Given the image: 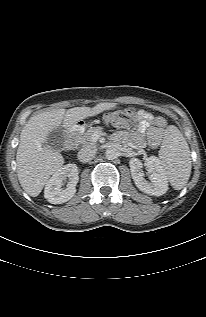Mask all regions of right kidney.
Segmentation results:
<instances>
[{"label":"right kidney","instance_id":"1","mask_svg":"<svg viewBox=\"0 0 206 317\" xmlns=\"http://www.w3.org/2000/svg\"><path fill=\"white\" fill-rule=\"evenodd\" d=\"M67 178H69V182L66 188H62ZM78 180V168L76 164L64 165L46 183L44 197L52 204L67 202L76 193Z\"/></svg>","mask_w":206,"mask_h":317}]
</instances>
